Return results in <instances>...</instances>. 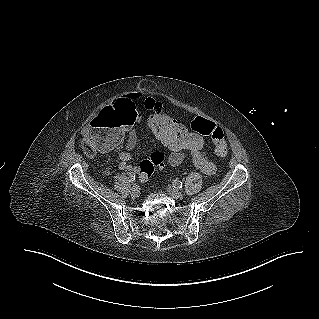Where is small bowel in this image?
Instances as JSON below:
<instances>
[{
	"label": "small bowel",
	"mask_w": 319,
	"mask_h": 319,
	"mask_svg": "<svg viewBox=\"0 0 319 319\" xmlns=\"http://www.w3.org/2000/svg\"><path fill=\"white\" fill-rule=\"evenodd\" d=\"M138 100L139 96L137 94H129L118 101H113L112 105L101 108L96 117H91V125L83 131L88 146L92 150L102 153L113 151L126 137L125 150L118 155L119 168L125 171H138L137 168H133L130 164V151L137 144V130L135 128L129 129V126H137V120L139 119ZM143 105L150 112V115L159 112L165 113L161 103L152 98H147ZM174 121L181 124L176 120ZM192 123L193 121H190V130H193V135H203L192 128ZM154 137L169 149L168 164L170 166L174 167L182 163L184 152H179L163 143L157 136ZM190 159L194 167L203 174L210 176L216 172L215 162L203 150L197 153H190Z\"/></svg>",
	"instance_id": "small-bowel-1"
}]
</instances>
